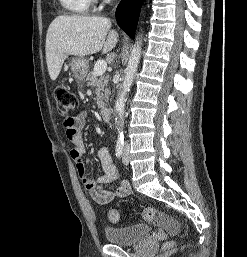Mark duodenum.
Instances as JSON below:
<instances>
[{"label":"duodenum","mask_w":247,"mask_h":257,"mask_svg":"<svg viewBox=\"0 0 247 257\" xmlns=\"http://www.w3.org/2000/svg\"><path fill=\"white\" fill-rule=\"evenodd\" d=\"M103 120L109 121L111 119V109L107 106H104L100 110Z\"/></svg>","instance_id":"duodenum-1"}]
</instances>
